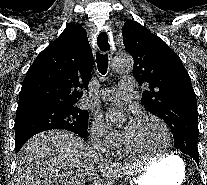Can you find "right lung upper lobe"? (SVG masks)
<instances>
[{
    "label": "right lung upper lobe",
    "instance_id": "1",
    "mask_svg": "<svg viewBox=\"0 0 207 185\" xmlns=\"http://www.w3.org/2000/svg\"><path fill=\"white\" fill-rule=\"evenodd\" d=\"M93 55L86 31L67 26L35 59L24 79L17 110L31 107L76 108L88 87Z\"/></svg>",
    "mask_w": 207,
    "mask_h": 185
}]
</instances>
